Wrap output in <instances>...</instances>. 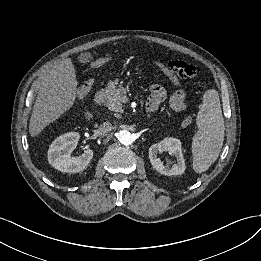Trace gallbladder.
Here are the masks:
<instances>
[{"instance_id":"bac80fb5","label":"gallbladder","mask_w":261,"mask_h":261,"mask_svg":"<svg viewBox=\"0 0 261 261\" xmlns=\"http://www.w3.org/2000/svg\"><path fill=\"white\" fill-rule=\"evenodd\" d=\"M86 56H87V54H81V55L79 56L78 60H79L80 62H85V61H87Z\"/></svg>"}]
</instances>
